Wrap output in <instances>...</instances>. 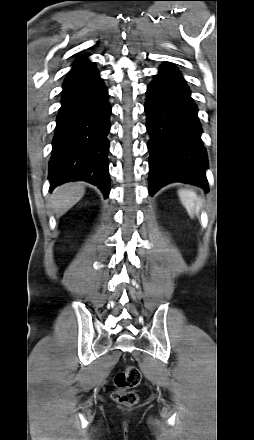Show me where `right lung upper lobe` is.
I'll return each mask as SVG.
<instances>
[{"instance_id":"cb5924a9","label":"right lung upper lobe","mask_w":254,"mask_h":440,"mask_svg":"<svg viewBox=\"0 0 254 440\" xmlns=\"http://www.w3.org/2000/svg\"><path fill=\"white\" fill-rule=\"evenodd\" d=\"M88 56L89 55H83L82 57L78 58L76 60V62L74 63V66L79 65V64L84 63V62H87L88 61V59H87Z\"/></svg>"}]
</instances>
